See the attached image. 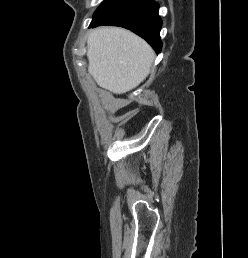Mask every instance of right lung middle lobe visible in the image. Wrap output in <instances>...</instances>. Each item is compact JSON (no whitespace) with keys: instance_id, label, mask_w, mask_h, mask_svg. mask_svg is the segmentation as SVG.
<instances>
[{"instance_id":"obj_1","label":"right lung middle lobe","mask_w":248,"mask_h":258,"mask_svg":"<svg viewBox=\"0 0 248 258\" xmlns=\"http://www.w3.org/2000/svg\"><path fill=\"white\" fill-rule=\"evenodd\" d=\"M119 0H104L102 4L97 8L94 13L93 20L98 19L104 13H106L110 8H112ZM92 20V21H93Z\"/></svg>"}]
</instances>
